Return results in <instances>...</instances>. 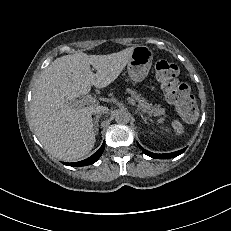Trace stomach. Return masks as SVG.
<instances>
[{
    "mask_svg": "<svg viewBox=\"0 0 231 231\" xmlns=\"http://www.w3.org/2000/svg\"><path fill=\"white\" fill-rule=\"evenodd\" d=\"M153 52L147 46H136L127 63V71L132 81L142 82L149 74L152 66Z\"/></svg>",
    "mask_w": 231,
    "mask_h": 231,
    "instance_id": "obj_1",
    "label": "stomach"
}]
</instances>
